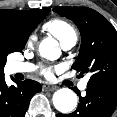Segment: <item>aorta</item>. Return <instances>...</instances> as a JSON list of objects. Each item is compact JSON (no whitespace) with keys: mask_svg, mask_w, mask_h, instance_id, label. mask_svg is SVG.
I'll return each instance as SVG.
<instances>
[{"mask_svg":"<svg viewBox=\"0 0 117 117\" xmlns=\"http://www.w3.org/2000/svg\"><path fill=\"white\" fill-rule=\"evenodd\" d=\"M39 52L42 57L49 60H56L61 55L57 47V41L53 38L44 39L39 45ZM54 107L61 113H70L77 106V95L69 88L58 89L53 95Z\"/></svg>","mask_w":117,"mask_h":117,"instance_id":"1","label":"aorta"}]
</instances>
